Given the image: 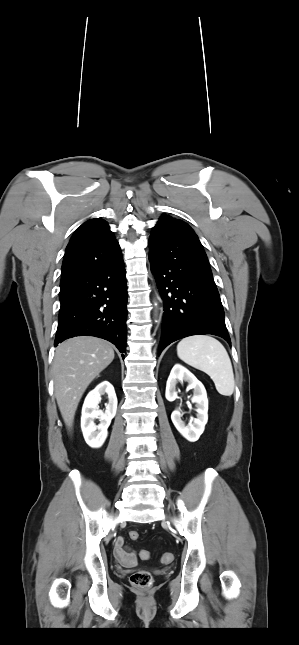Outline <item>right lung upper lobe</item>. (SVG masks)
<instances>
[{
	"instance_id": "right-lung-upper-lobe-1",
	"label": "right lung upper lobe",
	"mask_w": 299,
	"mask_h": 645,
	"mask_svg": "<svg viewBox=\"0 0 299 645\" xmlns=\"http://www.w3.org/2000/svg\"><path fill=\"white\" fill-rule=\"evenodd\" d=\"M120 256V246L106 221L101 218L86 221L74 232L66 248L60 287Z\"/></svg>"
}]
</instances>
